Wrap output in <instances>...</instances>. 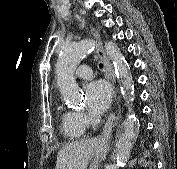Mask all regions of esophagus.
<instances>
[{"label": "esophagus", "mask_w": 177, "mask_h": 169, "mask_svg": "<svg viewBox=\"0 0 177 169\" xmlns=\"http://www.w3.org/2000/svg\"><path fill=\"white\" fill-rule=\"evenodd\" d=\"M91 32L93 34V36L95 37V39L98 40V43L96 45V51L98 56L100 57V59L103 61L104 64V70H105V76L107 79H110V81L112 82V84H110L109 86V91L112 92V95H114L113 100H118L117 95H119L118 91V86L117 84H115V78L112 74V67L111 64L103 50L102 44L99 40V34L96 30H94L93 28H91ZM113 113H116V107H113ZM118 116H115V114H111L110 117L108 118V120L105 123V126L103 128V132L100 136V139L105 140L110 138L111 132H112V128L114 126V124L117 122L118 120Z\"/></svg>", "instance_id": "1"}]
</instances>
